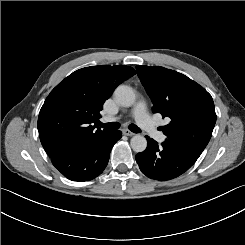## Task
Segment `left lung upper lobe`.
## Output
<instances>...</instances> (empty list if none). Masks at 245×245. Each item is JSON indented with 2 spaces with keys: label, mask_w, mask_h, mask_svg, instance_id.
I'll list each match as a JSON object with an SVG mask.
<instances>
[{
  "label": "left lung upper lobe",
  "mask_w": 245,
  "mask_h": 245,
  "mask_svg": "<svg viewBox=\"0 0 245 245\" xmlns=\"http://www.w3.org/2000/svg\"><path fill=\"white\" fill-rule=\"evenodd\" d=\"M138 76L154 104L153 111L169 117L163 127L169 140L202 153L216 123L211 95L187 76L163 67L136 66Z\"/></svg>",
  "instance_id": "obj_1"
}]
</instances>
